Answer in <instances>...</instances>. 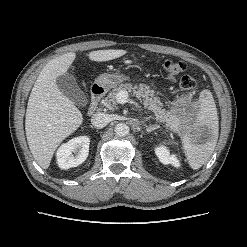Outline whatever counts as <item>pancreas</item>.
Masks as SVG:
<instances>
[{
    "mask_svg": "<svg viewBox=\"0 0 247 247\" xmlns=\"http://www.w3.org/2000/svg\"><path fill=\"white\" fill-rule=\"evenodd\" d=\"M125 90L127 92H132L138 99L142 100L144 105L151 110L156 119L161 122H166L169 124L170 122V113L166 112L163 108V104L160 99L155 96L154 90H151L149 86L145 84L132 85L131 83L120 84L118 87H115L112 91L109 92L108 96L103 99L102 104L109 110L116 109L117 94Z\"/></svg>",
    "mask_w": 247,
    "mask_h": 247,
    "instance_id": "obj_1",
    "label": "pancreas"
}]
</instances>
